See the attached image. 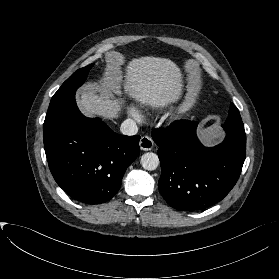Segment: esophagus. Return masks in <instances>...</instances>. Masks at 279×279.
Wrapping results in <instances>:
<instances>
[{
    "label": "esophagus",
    "mask_w": 279,
    "mask_h": 279,
    "mask_svg": "<svg viewBox=\"0 0 279 279\" xmlns=\"http://www.w3.org/2000/svg\"><path fill=\"white\" fill-rule=\"evenodd\" d=\"M139 146H140L141 150L149 151V150H151L153 148L154 142H153V140L150 137L143 136L140 139Z\"/></svg>",
    "instance_id": "esophagus-1"
}]
</instances>
